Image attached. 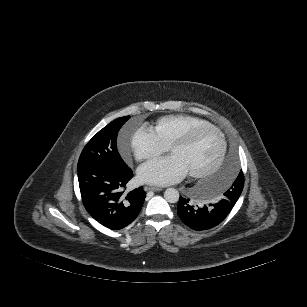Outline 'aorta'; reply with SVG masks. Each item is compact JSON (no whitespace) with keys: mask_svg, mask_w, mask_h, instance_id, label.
<instances>
[{"mask_svg":"<svg viewBox=\"0 0 307 307\" xmlns=\"http://www.w3.org/2000/svg\"><path fill=\"white\" fill-rule=\"evenodd\" d=\"M164 198L169 203H176L179 200V192L175 188H168L164 192Z\"/></svg>","mask_w":307,"mask_h":307,"instance_id":"1","label":"aorta"}]
</instances>
